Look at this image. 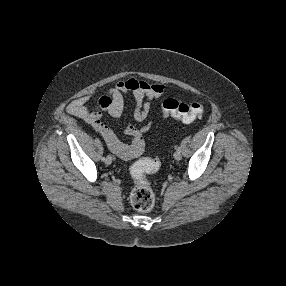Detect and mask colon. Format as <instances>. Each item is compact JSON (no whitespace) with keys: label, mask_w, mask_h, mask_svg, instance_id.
<instances>
[{"label":"colon","mask_w":286,"mask_h":286,"mask_svg":"<svg viewBox=\"0 0 286 286\" xmlns=\"http://www.w3.org/2000/svg\"><path fill=\"white\" fill-rule=\"evenodd\" d=\"M163 116H172L189 123L199 118L204 111L201 102L182 103L174 99H167L162 103ZM159 168V162L154 159L143 158L133 167L135 187L131 193L132 206L141 213L149 212L155 205V194L145 175L154 173Z\"/></svg>","instance_id":"obj_1"}]
</instances>
